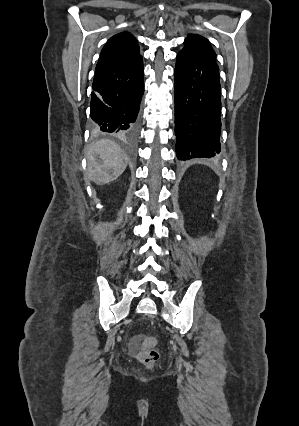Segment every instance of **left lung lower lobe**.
<instances>
[{
    "instance_id": "left-lung-lower-lobe-1",
    "label": "left lung lower lobe",
    "mask_w": 299,
    "mask_h": 426,
    "mask_svg": "<svg viewBox=\"0 0 299 426\" xmlns=\"http://www.w3.org/2000/svg\"><path fill=\"white\" fill-rule=\"evenodd\" d=\"M175 134L179 160L220 152L219 68L200 53L181 50L175 67Z\"/></svg>"
}]
</instances>
